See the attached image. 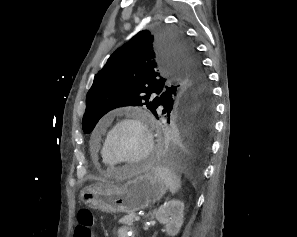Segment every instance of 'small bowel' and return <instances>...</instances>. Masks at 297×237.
I'll use <instances>...</instances> for the list:
<instances>
[{"label":"small bowel","mask_w":297,"mask_h":237,"mask_svg":"<svg viewBox=\"0 0 297 237\" xmlns=\"http://www.w3.org/2000/svg\"><path fill=\"white\" fill-rule=\"evenodd\" d=\"M118 237H131V232L128 227L122 226L118 229Z\"/></svg>","instance_id":"c3829d8e"}]
</instances>
